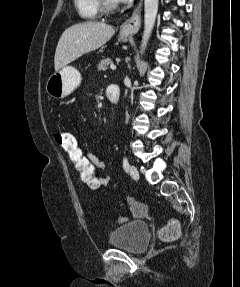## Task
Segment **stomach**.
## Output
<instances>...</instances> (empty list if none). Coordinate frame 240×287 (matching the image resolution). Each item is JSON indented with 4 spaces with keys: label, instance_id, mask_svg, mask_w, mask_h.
I'll use <instances>...</instances> for the list:
<instances>
[{
    "label": "stomach",
    "instance_id": "obj_1",
    "mask_svg": "<svg viewBox=\"0 0 240 287\" xmlns=\"http://www.w3.org/2000/svg\"><path fill=\"white\" fill-rule=\"evenodd\" d=\"M129 37V34L120 33L119 41L126 42ZM81 80L79 70L72 66H65L49 77L46 91L51 97L62 99L71 94L80 85Z\"/></svg>",
    "mask_w": 240,
    "mask_h": 287
}]
</instances>
